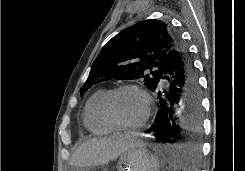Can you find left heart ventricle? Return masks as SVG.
Wrapping results in <instances>:
<instances>
[{"instance_id": "left-heart-ventricle-1", "label": "left heart ventricle", "mask_w": 245, "mask_h": 171, "mask_svg": "<svg viewBox=\"0 0 245 171\" xmlns=\"http://www.w3.org/2000/svg\"><path fill=\"white\" fill-rule=\"evenodd\" d=\"M146 103L136 90H124L114 96L111 109L114 116L123 124L133 125L144 116Z\"/></svg>"}]
</instances>
